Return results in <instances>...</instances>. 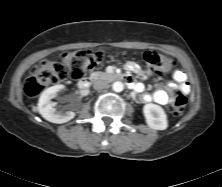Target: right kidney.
Listing matches in <instances>:
<instances>
[{
    "label": "right kidney",
    "mask_w": 222,
    "mask_h": 187,
    "mask_svg": "<svg viewBox=\"0 0 222 187\" xmlns=\"http://www.w3.org/2000/svg\"><path fill=\"white\" fill-rule=\"evenodd\" d=\"M64 89L63 85H54L44 90L39 98L38 111L44 119L52 123H65L75 117V113L68 111L62 113L56 110V103L51 99L55 98L61 90Z\"/></svg>",
    "instance_id": "right-kidney-1"
}]
</instances>
